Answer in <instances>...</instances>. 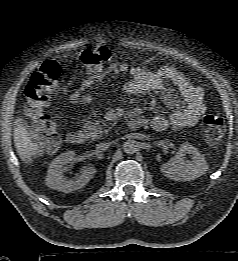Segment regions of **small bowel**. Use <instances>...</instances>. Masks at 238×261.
Here are the masks:
<instances>
[{"mask_svg":"<svg viewBox=\"0 0 238 261\" xmlns=\"http://www.w3.org/2000/svg\"><path fill=\"white\" fill-rule=\"evenodd\" d=\"M107 72L115 75L129 74L131 79L125 83L123 90L130 95L155 91L164 92L166 82L172 83L177 88L185 106L181 108L177 99L172 94L166 93L165 102L172 109V113L169 116L157 114L151 118L150 125L156 131H164L169 127L194 126L205 111L203 89L193 85L180 71L172 66L148 70L139 66H129L126 63H113L108 67ZM101 79L102 75L100 74H92L85 78L80 88L71 94V101L82 104L90 103L92 96L83 92L90 89Z\"/></svg>","mask_w":238,"mask_h":261,"instance_id":"1","label":"small bowel"}]
</instances>
